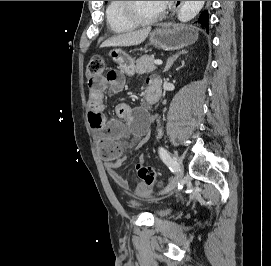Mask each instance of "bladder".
<instances>
[{
	"mask_svg": "<svg viewBox=\"0 0 271 266\" xmlns=\"http://www.w3.org/2000/svg\"><path fill=\"white\" fill-rule=\"evenodd\" d=\"M171 213H172L171 208H161V209H158L157 211H155L153 213V215L156 217H165V216L170 215Z\"/></svg>",
	"mask_w": 271,
	"mask_h": 266,
	"instance_id": "bladder-1",
	"label": "bladder"
}]
</instances>
